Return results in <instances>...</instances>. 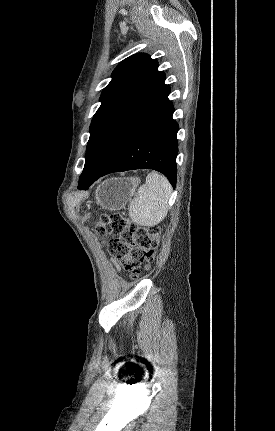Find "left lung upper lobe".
I'll return each mask as SVG.
<instances>
[{"label":"left lung upper lobe","mask_w":275,"mask_h":431,"mask_svg":"<svg viewBox=\"0 0 275 431\" xmlns=\"http://www.w3.org/2000/svg\"><path fill=\"white\" fill-rule=\"evenodd\" d=\"M157 69V60L145 53L128 57L114 69L91 121L80 183L104 171L168 101L170 87Z\"/></svg>","instance_id":"obj_1"}]
</instances>
